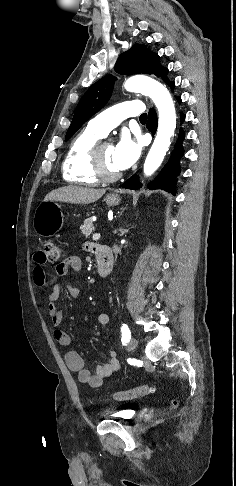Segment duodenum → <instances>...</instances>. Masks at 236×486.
<instances>
[{"label": "duodenum", "instance_id": "410a0bca", "mask_svg": "<svg viewBox=\"0 0 236 486\" xmlns=\"http://www.w3.org/2000/svg\"><path fill=\"white\" fill-rule=\"evenodd\" d=\"M95 254L99 275L102 277L108 276L113 268V254L111 248L107 245H96Z\"/></svg>", "mask_w": 236, "mask_h": 486}]
</instances>
